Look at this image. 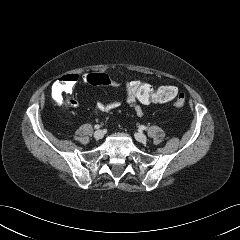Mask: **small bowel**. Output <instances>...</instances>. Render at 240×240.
Listing matches in <instances>:
<instances>
[{
    "label": "small bowel",
    "instance_id": "small-bowel-1",
    "mask_svg": "<svg viewBox=\"0 0 240 240\" xmlns=\"http://www.w3.org/2000/svg\"><path fill=\"white\" fill-rule=\"evenodd\" d=\"M125 95H126V101L129 103V105L134 109L135 113L138 116H143L145 114V111L142 107L141 104L137 103L132 96L127 92V90L125 89ZM122 99L121 98H116L114 100H112L109 103H103L101 101H97L96 102V109L99 112H109L112 111L116 108H118L121 105ZM71 104L75 105L76 102L75 101H71Z\"/></svg>",
    "mask_w": 240,
    "mask_h": 240
}]
</instances>
